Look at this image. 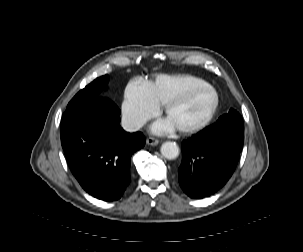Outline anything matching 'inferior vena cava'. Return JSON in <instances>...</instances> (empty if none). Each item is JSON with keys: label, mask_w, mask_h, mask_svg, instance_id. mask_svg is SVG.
Masks as SVG:
<instances>
[{"label": "inferior vena cava", "mask_w": 303, "mask_h": 252, "mask_svg": "<svg viewBox=\"0 0 303 252\" xmlns=\"http://www.w3.org/2000/svg\"><path fill=\"white\" fill-rule=\"evenodd\" d=\"M121 125L125 131L135 132L144 125V121L129 116H123Z\"/></svg>", "instance_id": "1"}]
</instances>
